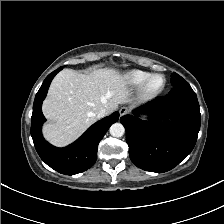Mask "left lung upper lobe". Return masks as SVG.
Returning <instances> with one entry per match:
<instances>
[{
  "mask_svg": "<svg viewBox=\"0 0 224 224\" xmlns=\"http://www.w3.org/2000/svg\"><path fill=\"white\" fill-rule=\"evenodd\" d=\"M183 82H185V80L181 76H179L177 73L174 72L171 75V84H172V86H176V85H178L180 83H183Z\"/></svg>",
  "mask_w": 224,
  "mask_h": 224,
  "instance_id": "left-lung-upper-lobe-1",
  "label": "left lung upper lobe"
}]
</instances>
